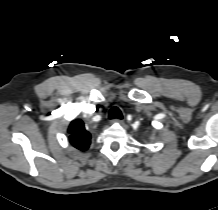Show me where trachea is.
Returning <instances> with one entry per match:
<instances>
[{"label":"trachea","instance_id":"3493384b","mask_svg":"<svg viewBox=\"0 0 218 210\" xmlns=\"http://www.w3.org/2000/svg\"><path fill=\"white\" fill-rule=\"evenodd\" d=\"M109 119H122V113L118 107L111 108L109 112Z\"/></svg>","mask_w":218,"mask_h":210}]
</instances>
